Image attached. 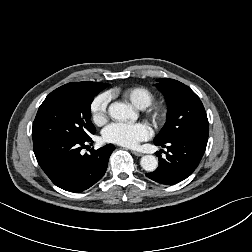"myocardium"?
Masks as SVG:
<instances>
[{
    "mask_svg": "<svg viewBox=\"0 0 252 252\" xmlns=\"http://www.w3.org/2000/svg\"><path fill=\"white\" fill-rule=\"evenodd\" d=\"M150 118L154 123H161L165 118V110L161 106H154L148 111Z\"/></svg>",
    "mask_w": 252,
    "mask_h": 252,
    "instance_id": "myocardium-1",
    "label": "myocardium"
}]
</instances>
